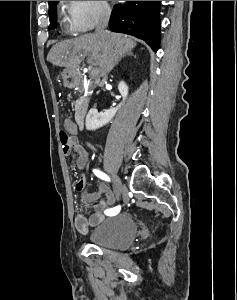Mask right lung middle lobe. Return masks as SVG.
Segmentation results:
<instances>
[{
  "label": "right lung middle lobe",
  "mask_w": 237,
  "mask_h": 300,
  "mask_svg": "<svg viewBox=\"0 0 237 300\" xmlns=\"http://www.w3.org/2000/svg\"><path fill=\"white\" fill-rule=\"evenodd\" d=\"M59 1H52L49 3V18H50V25L49 29H54L57 23V14H56V5Z\"/></svg>",
  "instance_id": "1"
}]
</instances>
